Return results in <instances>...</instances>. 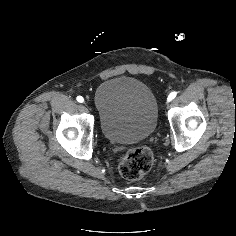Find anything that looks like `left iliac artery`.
Returning a JSON list of instances; mask_svg holds the SVG:
<instances>
[{
  "instance_id": "left-iliac-artery-1",
  "label": "left iliac artery",
  "mask_w": 236,
  "mask_h": 236,
  "mask_svg": "<svg viewBox=\"0 0 236 236\" xmlns=\"http://www.w3.org/2000/svg\"><path fill=\"white\" fill-rule=\"evenodd\" d=\"M176 95H177V92L173 91L169 94L167 99L169 100L171 98L173 100L176 97Z\"/></svg>"
}]
</instances>
